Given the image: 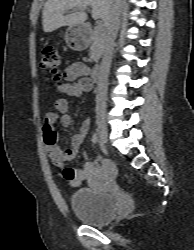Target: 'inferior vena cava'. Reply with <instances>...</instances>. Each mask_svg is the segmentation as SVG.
Segmentation results:
<instances>
[{
    "label": "inferior vena cava",
    "mask_w": 194,
    "mask_h": 250,
    "mask_svg": "<svg viewBox=\"0 0 194 250\" xmlns=\"http://www.w3.org/2000/svg\"><path fill=\"white\" fill-rule=\"evenodd\" d=\"M120 0H113L108 19L106 21L107 34L105 37L103 59L99 69L96 94V118L103 121L106 114V97L108 89V75L110 71L114 41L120 25Z\"/></svg>",
    "instance_id": "1"
}]
</instances>
